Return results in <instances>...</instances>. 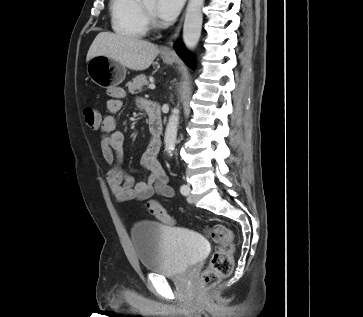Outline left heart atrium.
<instances>
[{
	"label": "left heart atrium",
	"instance_id": "39dd6f15",
	"mask_svg": "<svg viewBox=\"0 0 363 317\" xmlns=\"http://www.w3.org/2000/svg\"><path fill=\"white\" fill-rule=\"evenodd\" d=\"M184 0H157L155 13L164 22L173 21L179 14Z\"/></svg>",
	"mask_w": 363,
	"mask_h": 317
}]
</instances>
